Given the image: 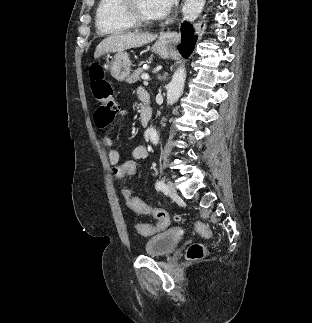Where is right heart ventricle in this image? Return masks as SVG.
Listing matches in <instances>:
<instances>
[{"label":"right heart ventricle","mask_w":312,"mask_h":323,"mask_svg":"<svg viewBox=\"0 0 312 323\" xmlns=\"http://www.w3.org/2000/svg\"><path fill=\"white\" fill-rule=\"evenodd\" d=\"M94 9V25L98 33H115L116 29H133L134 24L128 18L129 11L123 1L98 0Z\"/></svg>","instance_id":"e07e8e85"}]
</instances>
